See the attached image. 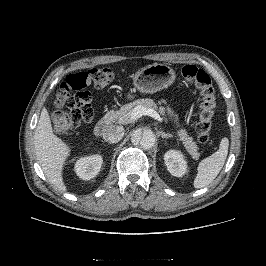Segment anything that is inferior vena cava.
<instances>
[{
	"instance_id": "inferior-vena-cava-1",
	"label": "inferior vena cava",
	"mask_w": 266,
	"mask_h": 266,
	"mask_svg": "<svg viewBox=\"0 0 266 266\" xmlns=\"http://www.w3.org/2000/svg\"><path fill=\"white\" fill-rule=\"evenodd\" d=\"M123 136L124 128L116 125H110L103 134L104 140L109 143H116L120 141Z\"/></svg>"
}]
</instances>
